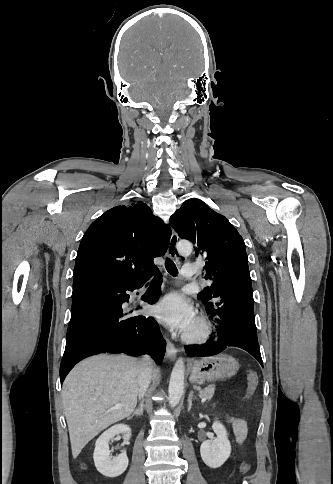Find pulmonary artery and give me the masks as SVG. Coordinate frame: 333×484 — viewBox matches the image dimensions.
Here are the masks:
<instances>
[{"mask_svg":"<svg viewBox=\"0 0 333 484\" xmlns=\"http://www.w3.org/2000/svg\"><path fill=\"white\" fill-rule=\"evenodd\" d=\"M181 273L186 278L192 277L197 273V265L193 263H186L183 265Z\"/></svg>","mask_w":333,"mask_h":484,"instance_id":"pulmonary-artery-1","label":"pulmonary artery"}]
</instances>
